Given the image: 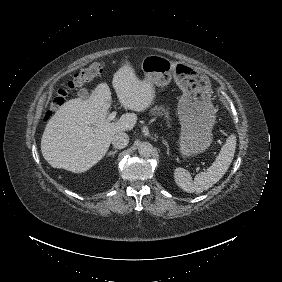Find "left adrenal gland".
Here are the masks:
<instances>
[{"mask_svg": "<svg viewBox=\"0 0 282 282\" xmlns=\"http://www.w3.org/2000/svg\"><path fill=\"white\" fill-rule=\"evenodd\" d=\"M161 142L165 145L166 147V154L170 155L169 153V145L166 143V140L164 138H161Z\"/></svg>", "mask_w": 282, "mask_h": 282, "instance_id": "a2214340", "label": "left adrenal gland"}]
</instances>
